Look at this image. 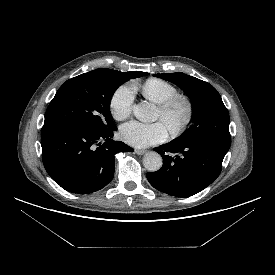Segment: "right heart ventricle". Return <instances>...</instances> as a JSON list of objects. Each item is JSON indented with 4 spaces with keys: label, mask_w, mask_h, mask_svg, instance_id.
I'll return each mask as SVG.
<instances>
[{
    "label": "right heart ventricle",
    "mask_w": 275,
    "mask_h": 275,
    "mask_svg": "<svg viewBox=\"0 0 275 275\" xmlns=\"http://www.w3.org/2000/svg\"><path fill=\"white\" fill-rule=\"evenodd\" d=\"M144 97L156 104H161L167 99L178 94L177 88L168 81L150 78L142 86Z\"/></svg>",
    "instance_id": "1"
}]
</instances>
